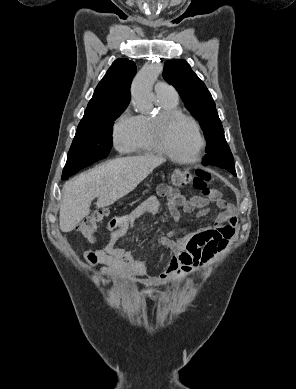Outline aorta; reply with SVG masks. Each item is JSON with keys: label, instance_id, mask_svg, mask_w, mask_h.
Wrapping results in <instances>:
<instances>
[{"label": "aorta", "instance_id": "1", "mask_svg": "<svg viewBox=\"0 0 296 389\" xmlns=\"http://www.w3.org/2000/svg\"><path fill=\"white\" fill-rule=\"evenodd\" d=\"M162 67L155 62L147 63L136 75L131 94L133 101L138 105L150 106L152 103V87Z\"/></svg>", "mask_w": 296, "mask_h": 389}]
</instances>
